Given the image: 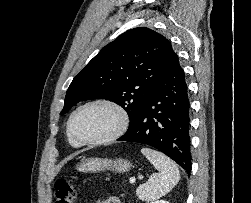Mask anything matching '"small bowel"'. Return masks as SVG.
I'll list each match as a JSON object with an SVG mask.
<instances>
[{
	"mask_svg": "<svg viewBox=\"0 0 251 203\" xmlns=\"http://www.w3.org/2000/svg\"><path fill=\"white\" fill-rule=\"evenodd\" d=\"M94 203H121V201L115 197H107V198L98 200Z\"/></svg>",
	"mask_w": 251,
	"mask_h": 203,
	"instance_id": "1",
	"label": "small bowel"
}]
</instances>
